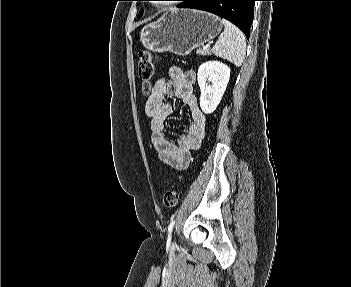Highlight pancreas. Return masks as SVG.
I'll return each mask as SVG.
<instances>
[{
    "label": "pancreas",
    "mask_w": 351,
    "mask_h": 287,
    "mask_svg": "<svg viewBox=\"0 0 351 287\" xmlns=\"http://www.w3.org/2000/svg\"><path fill=\"white\" fill-rule=\"evenodd\" d=\"M197 54L205 56V55H209L210 51L208 49H199L197 50Z\"/></svg>",
    "instance_id": "obj_1"
}]
</instances>
